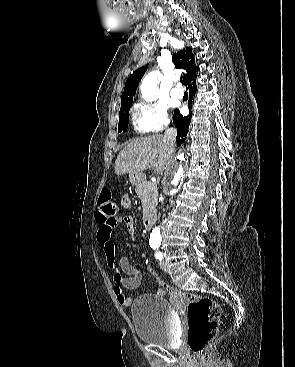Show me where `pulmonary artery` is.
Wrapping results in <instances>:
<instances>
[{
  "label": "pulmonary artery",
  "instance_id": "pulmonary-artery-1",
  "mask_svg": "<svg viewBox=\"0 0 295 367\" xmlns=\"http://www.w3.org/2000/svg\"><path fill=\"white\" fill-rule=\"evenodd\" d=\"M171 96L175 99H181L183 97V91L180 87H175L171 91Z\"/></svg>",
  "mask_w": 295,
  "mask_h": 367
}]
</instances>
